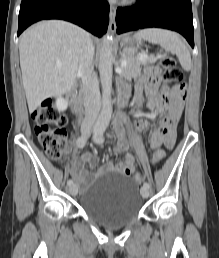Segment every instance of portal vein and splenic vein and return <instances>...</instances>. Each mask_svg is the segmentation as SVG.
I'll use <instances>...</instances> for the list:
<instances>
[{
	"instance_id": "portal-vein-and-splenic-vein-1",
	"label": "portal vein and splenic vein",
	"mask_w": 219,
	"mask_h": 258,
	"mask_svg": "<svg viewBox=\"0 0 219 258\" xmlns=\"http://www.w3.org/2000/svg\"><path fill=\"white\" fill-rule=\"evenodd\" d=\"M148 58H151V57H149L148 55H145V54L139 55V59H141V60H146ZM126 65H127V62L125 60L121 62L122 68H124ZM58 67H61V65H58Z\"/></svg>"
}]
</instances>
